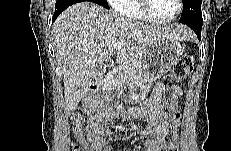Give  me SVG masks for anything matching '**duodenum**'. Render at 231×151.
<instances>
[{"mask_svg": "<svg viewBox=\"0 0 231 151\" xmlns=\"http://www.w3.org/2000/svg\"><path fill=\"white\" fill-rule=\"evenodd\" d=\"M99 87H100V82L99 81L93 82L90 85V92L93 93V94H96L99 91Z\"/></svg>", "mask_w": 231, "mask_h": 151, "instance_id": "1", "label": "duodenum"}]
</instances>
